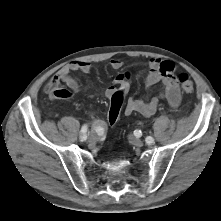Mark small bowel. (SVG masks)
I'll list each match as a JSON object with an SVG mask.
<instances>
[{
    "instance_id": "obj_1",
    "label": "small bowel",
    "mask_w": 221,
    "mask_h": 221,
    "mask_svg": "<svg viewBox=\"0 0 221 221\" xmlns=\"http://www.w3.org/2000/svg\"><path fill=\"white\" fill-rule=\"evenodd\" d=\"M113 70H119L123 66L120 59H112L109 63ZM148 73L145 77L144 84L147 90L157 84L162 87V92L158 96H154L150 100L131 97L127 100L125 113H139L149 117L153 115L159 106L161 100H165L172 109L178 108L181 101V92L179 84L174 76L175 65L168 60L152 58L148 62ZM92 64L89 61H73L61 68L53 77L58 82L64 83L73 92L80 90L79 82L71 75L72 72L90 73ZM123 88L127 93L130 88L129 76L127 73H119L113 80V83L105 88L102 95L111 97L112 93ZM100 127L99 124H97Z\"/></svg>"
}]
</instances>
